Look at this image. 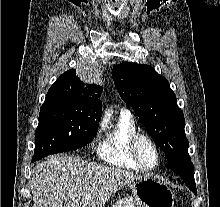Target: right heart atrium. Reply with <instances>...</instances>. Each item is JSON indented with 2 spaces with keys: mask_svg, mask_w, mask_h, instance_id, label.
Segmentation results:
<instances>
[{
  "mask_svg": "<svg viewBox=\"0 0 220 207\" xmlns=\"http://www.w3.org/2000/svg\"><path fill=\"white\" fill-rule=\"evenodd\" d=\"M104 127H105L104 121H100V123H99V125L97 127L95 138H94L95 141H97L100 138V135H101Z\"/></svg>",
  "mask_w": 220,
  "mask_h": 207,
  "instance_id": "right-heart-atrium-1",
  "label": "right heart atrium"
}]
</instances>
